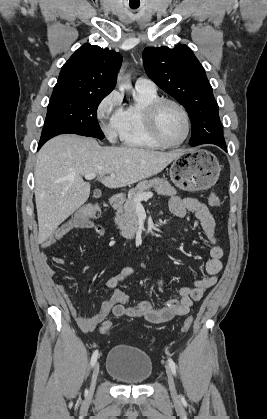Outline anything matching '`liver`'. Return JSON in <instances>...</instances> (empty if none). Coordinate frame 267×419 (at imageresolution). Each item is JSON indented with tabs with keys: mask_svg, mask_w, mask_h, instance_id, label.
<instances>
[{
	"mask_svg": "<svg viewBox=\"0 0 267 419\" xmlns=\"http://www.w3.org/2000/svg\"><path fill=\"white\" fill-rule=\"evenodd\" d=\"M183 152L102 147L94 138L77 135L52 138L38 152L35 165L38 242H45L88 200L91 186L83 175L96 174L108 188L125 187L158 174ZM112 173L114 177L108 176Z\"/></svg>",
	"mask_w": 267,
	"mask_h": 419,
	"instance_id": "liver-1",
	"label": "liver"
}]
</instances>
